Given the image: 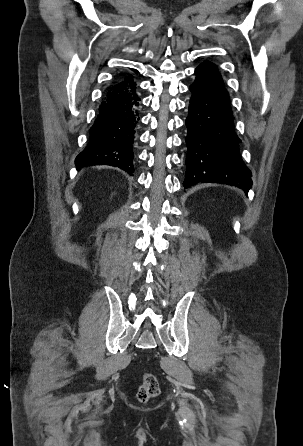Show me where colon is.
Segmentation results:
<instances>
[{"instance_id":"colon-1","label":"colon","mask_w":303,"mask_h":446,"mask_svg":"<svg viewBox=\"0 0 303 446\" xmlns=\"http://www.w3.org/2000/svg\"><path fill=\"white\" fill-rule=\"evenodd\" d=\"M160 388L157 378L152 373H144L142 377V384L137 393V398L140 402L146 403L151 398L159 394Z\"/></svg>"}]
</instances>
